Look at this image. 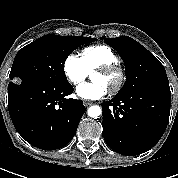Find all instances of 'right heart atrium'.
<instances>
[{"instance_id": "1", "label": "right heart atrium", "mask_w": 178, "mask_h": 178, "mask_svg": "<svg viewBox=\"0 0 178 178\" xmlns=\"http://www.w3.org/2000/svg\"><path fill=\"white\" fill-rule=\"evenodd\" d=\"M63 70L67 80L74 85L84 81L89 74L81 58L72 54L65 58Z\"/></svg>"}]
</instances>
